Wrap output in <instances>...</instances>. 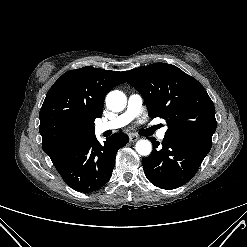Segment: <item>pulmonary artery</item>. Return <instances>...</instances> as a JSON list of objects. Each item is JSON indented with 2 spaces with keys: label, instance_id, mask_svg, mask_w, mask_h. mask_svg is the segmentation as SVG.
Returning <instances> with one entry per match:
<instances>
[{
  "label": "pulmonary artery",
  "instance_id": "pulmonary-artery-1",
  "mask_svg": "<svg viewBox=\"0 0 247 247\" xmlns=\"http://www.w3.org/2000/svg\"><path fill=\"white\" fill-rule=\"evenodd\" d=\"M142 97L137 94L133 93L129 96L126 110L115 116L114 118L110 119L109 121L101 122L96 125L95 129L98 134H101L105 131L109 130H116L122 128L129 124L134 118H136L141 109H142ZM166 135V128L160 129L157 132V136L160 140H163Z\"/></svg>",
  "mask_w": 247,
  "mask_h": 247
}]
</instances>
